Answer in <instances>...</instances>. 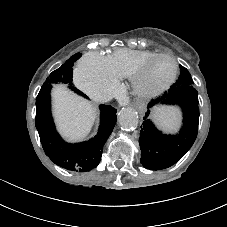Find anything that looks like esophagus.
Wrapping results in <instances>:
<instances>
[{"instance_id": "esophagus-1", "label": "esophagus", "mask_w": 227, "mask_h": 227, "mask_svg": "<svg viewBox=\"0 0 227 227\" xmlns=\"http://www.w3.org/2000/svg\"><path fill=\"white\" fill-rule=\"evenodd\" d=\"M136 110H137L138 113L143 114V113L146 112L147 107H146L145 104L140 103V104L137 105Z\"/></svg>"}]
</instances>
